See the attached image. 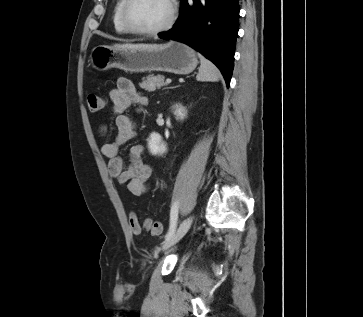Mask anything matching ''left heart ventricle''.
Listing matches in <instances>:
<instances>
[{"label": "left heart ventricle", "instance_id": "left-heart-ventricle-1", "mask_svg": "<svg viewBox=\"0 0 363 317\" xmlns=\"http://www.w3.org/2000/svg\"><path fill=\"white\" fill-rule=\"evenodd\" d=\"M169 13L168 0H135L129 16L135 27L152 30L163 25Z\"/></svg>", "mask_w": 363, "mask_h": 317}]
</instances>
